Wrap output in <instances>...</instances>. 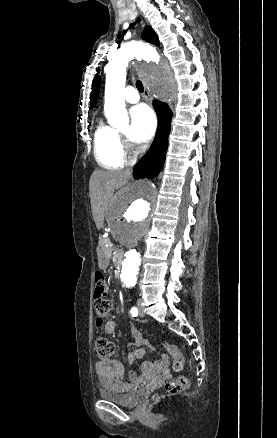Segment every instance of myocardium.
I'll use <instances>...</instances> for the list:
<instances>
[{
    "instance_id": "myocardium-1",
    "label": "myocardium",
    "mask_w": 277,
    "mask_h": 438,
    "mask_svg": "<svg viewBox=\"0 0 277 438\" xmlns=\"http://www.w3.org/2000/svg\"><path fill=\"white\" fill-rule=\"evenodd\" d=\"M123 138H124L126 141H128V138H127L126 135H123Z\"/></svg>"
}]
</instances>
